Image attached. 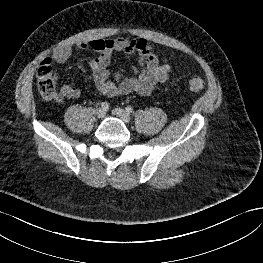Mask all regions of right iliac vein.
Here are the masks:
<instances>
[{"mask_svg":"<svg viewBox=\"0 0 263 263\" xmlns=\"http://www.w3.org/2000/svg\"><path fill=\"white\" fill-rule=\"evenodd\" d=\"M96 116L100 119L103 118L105 116V110L103 108L97 109Z\"/></svg>","mask_w":263,"mask_h":263,"instance_id":"obj_1","label":"right iliac vein"}]
</instances>
